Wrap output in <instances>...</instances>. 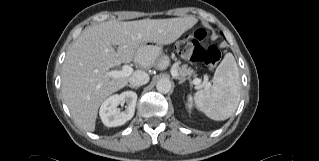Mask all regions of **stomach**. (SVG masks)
Returning <instances> with one entry per match:
<instances>
[{"label": "stomach", "instance_id": "stomach-1", "mask_svg": "<svg viewBox=\"0 0 319 161\" xmlns=\"http://www.w3.org/2000/svg\"><path fill=\"white\" fill-rule=\"evenodd\" d=\"M136 61L141 62H157L161 67L168 64L169 58L162 52L159 44L147 42L142 44L136 52Z\"/></svg>", "mask_w": 319, "mask_h": 161}]
</instances>
